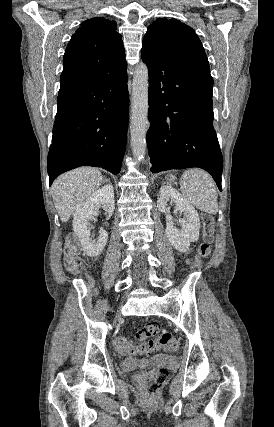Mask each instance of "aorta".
<instances>
[{
    "instance_id": "1",
    "label": "aorta",
    "mask_w": 274,
    "mask_h": 427,
    "mask_svg": "<svg viewBox=\"0 0 274 427\" xmlns=\"http://www.w3.org/2000/svg\"><path fill=\"white\" fill-rule=\"evenodd\" d=\"M149 74L146 64L135 68L132 82L130 141L134 158L143 159L146 153V134L150 127L148 120Z\"/></svg>"
}]
</instances>
